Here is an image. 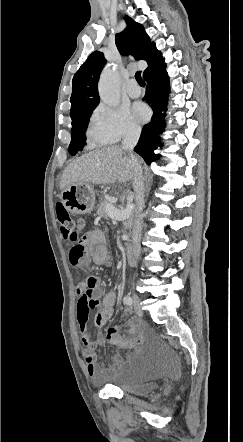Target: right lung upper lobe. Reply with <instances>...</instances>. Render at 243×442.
I'll use <instances>...</instances> for the list:
<instances>
[{"label":"right lung upper lobe","mask_w":243,"mask_h":442,"mask_svg":"<svg viewBox=\"0 0 243 442\" xmlns=\"http://www.w3.org/2000/svg\"><path fill=\"white\" fill-rule=\"evenodd\" d=\"M124 19L127 27L116 34V46L121 54H130L136 60H145L148 63L144 75L162 59V54L156 49L155 44L151 43L141 24L128 16H125ZM105 63L104 54L95 51L74 75L72 80L73 91L70 99L72 121L82 113L94 110L98 105L100 97L97 83Z\"/></svg>","instance_id":"1"}]
</instances>
